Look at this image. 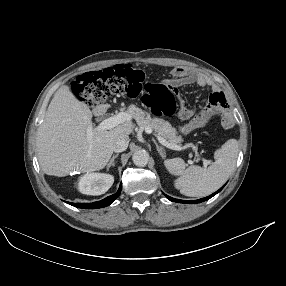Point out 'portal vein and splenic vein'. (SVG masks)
Wrapping results in <instances>:
<instances>
[{
  "mask_svg": "<svg viewBox=\"0 0 286 286\" xmlns=\"http://www.w3.org/2000/svg\"><path fill=\"white\" fill-rule=\"evenodd\" d=\"M130 120H131V116L128 113L120 112V113H118L116 115H113V116L103 120L97 126V128L101 129V130L111 129V128H114V127L118 126L119 124H122V123H124L126 121H130ZM145 132L148 133V134L152 133L158 139V141L162 145L166 146L167 148H170V149H173V150H178V151L186 149V147H181L179 145L169 143L162 136H160L159 134L155 133L153 131V129L150 128V127H145ZM88 133H89V136L91 137L92 134H91L90 130H88ZM195 154H196V156L200 157L198 152L195 151ZM202 161H203V164H204L205 167L209 164V161H207L204 158H202Z\"/></svg>",
  "mask_w": 286,
  "mask_h": 286,
  "instance_id": "portal-vein-and-splenic-vein-1",
  "label": "portal vein and splenic vein"
}]
</instances>
